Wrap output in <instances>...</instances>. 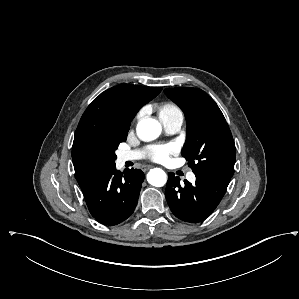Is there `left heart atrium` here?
<instances>
[{"label":"left heart atrium","mask_w":299,"mask_h":299,"mask_svg":"<svg viewBox=\"0 0 299 299\" xmlns=\"http://www.w3.org/2000/svg\"><path fill=\"white\" fill-rule=\"evenodd\" d=\"M177 152L174 144L156 145L149 150V157L156 162H166L170 156Z\"/></svg>","instance_id":"39dd6f15"}]
</instances>
